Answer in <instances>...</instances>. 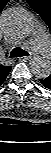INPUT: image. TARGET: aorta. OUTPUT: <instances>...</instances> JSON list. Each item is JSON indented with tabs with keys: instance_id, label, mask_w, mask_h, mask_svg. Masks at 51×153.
I'll use <instances>...</instances> for the list:
<instances>
[{
	"instance_id": "1",
	"label": "aorta",
	"mask_w": 51,
	"mask_h": 153,
	"mask_svg": "<svg viewBox=\"0 0 51 153\" xmlns=\"http://www.w3.org/2000/svg\"><path fill=\"white\" fill-rule=\"evenodd\" d=\"M34 26L33 17L24 8L13 7L3 12L2 28L7 36L26 38ZM30 70L37 78H47L51 74V61L43 56H35L30 61Z\"/></svg>"
}]
</instances>
